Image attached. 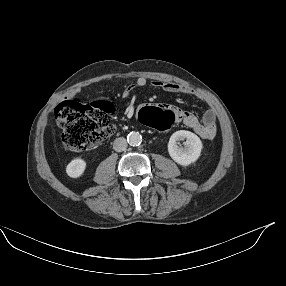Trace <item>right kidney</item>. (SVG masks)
I'll use <instances>...</instances> for the list:
<instances>
[{"mask_svg": "<svg viewBox=\"0 0 286 286\" xmlns=\"http://www.w3.org/2000/svg\"><path fill=\"white\" fill-rule=\"evenodd\" d=\"M86 169V162L77 158L72 160L66 167V173L72 178H78L83 175Z\"/></svg>", "mask_w": 286, "mask_h": 286, "instance_id": "obj_1", "label": "right kidney"}]
</instances>
